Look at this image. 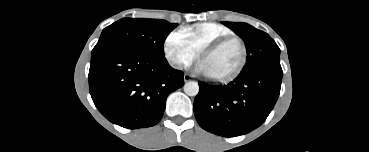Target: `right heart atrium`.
Masks as SVG:
<instances>
[{
	"label": "right heart atrium",
	"instance_id": "right-heart-atrium-1",
	"mask_svg": "<svg viewBox=\"0 0 369 152\" xmlns=\"http://www.w3.org/2000/svg\"><path fill=\"white\" fill-rule=\"evenodd\" d=\"M163 51L168 62L176 69H186L198 57L181 30L170 32L163 44Z\"/></svg>",
	"mask_w": 369,
	"mask_h": 152
}]
</instances>
